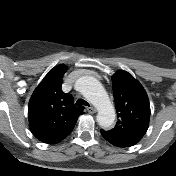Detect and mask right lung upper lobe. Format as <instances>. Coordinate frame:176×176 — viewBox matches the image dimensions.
Segmentation results:
<instances>
[{"mask_svg":"<svg viewBox=\"0 0 176 176\" xmlns=\"http://www.w3.org/2000/svg\"><path fill=\"white\" fill-rule=\"evenodd\" d=\"M67 67L55 66L35 89L28 104L32 134L40 141L56 144L73 130L84 107L74 105L73 96L61 89Z\"/></svg>","mask_w":176,"mask_h":176,"instance_id":"1","label":"right lung upper lobe"}]
</instances>
